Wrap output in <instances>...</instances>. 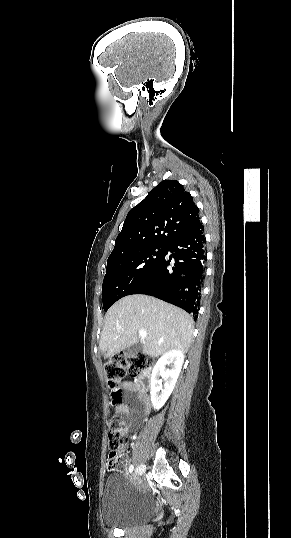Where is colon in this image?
<instances>
[{
  "label": "colon",
  "instance_id": "colon-1",
  "mask_svg": "<svg viewBox=\"0 0 291 538\" xmlns=\"http://www.w3.org/2000/svg\"><path fill=\"white\" fill-rule=\"evenodd\" d=\"M152 365L150 356L144 353H135L125 356L121 353L113 354L105 364V374L110 388L112 403L117 405L122 399V387L127 374L131 376L148 375ZM128 434L127 425L119 419L109 423L108 447L110 450L106 467L109 471L119 468V449L125 443Z\"/></svg>",
  "mask_w": 291,
  "mask_h": 538
}]
</instances>
